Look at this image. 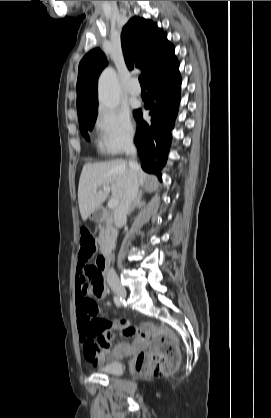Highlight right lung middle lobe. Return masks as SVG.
Instances as JSON below:
<instances>
[{
	"label": "right lung middle lobe",
	"mask_w": 271,
	"mask_h": 418,
	"mask_svg": "<svg viewBox=\"0 0 271 418\" xmlns=\"http://www.w3.org/2000/svg\"><path fill=\"white\" fill-rule=\"evenodd\" d=\"M96 115H97V107L86 114L78 116V119L80 122V131L82 135L85 136L87 139H88V131L92 130L95 124Z\"/></svg>",
	"instance_id": "dd1d6c3e"
}]
</instances>
